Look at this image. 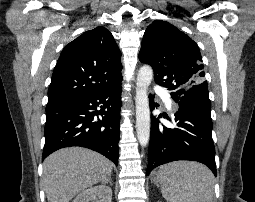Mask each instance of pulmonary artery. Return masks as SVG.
I'll use <instances>...</instances> for the list:
<instances>
[{
  "mask_svg": "<svg viewBox=\"0 0 255 202\" xmlns=\"http://www.w3.org/2000/svg\"><path fill=\"white\" fill-rule=\"evenodd\" d=\"M155 91L160 93V94H163V90L160 88V87H156L155 88ZM165 105L166 107L171 111V112H174L176 111V105L175 103H173L171 100L169 99H165Z\"/></svg>",
  "mask_w": 255,
  "mask_h": 202,
  "instance_id": "pulmonary-artery-1",
  "label": "pulmonary artery"
}]
</instances>
